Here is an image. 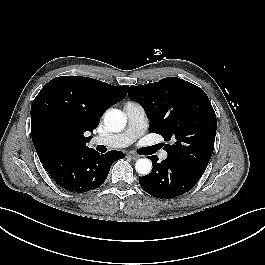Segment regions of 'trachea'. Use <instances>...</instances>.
<instances>
[{
  "mask_svg": "<svg viewBox=\"0 0 265 265\" xmlns=\"http://www.w3.org/2000/svg\"><path fill=\"white\" fill-rule=\"evenodd\" d=\"M151 148H153V149H155V150L159 149V148H158V147H156V146H153V147H151Z\"/></svg>",
  "mask_w": 265,
  "mask_h": 265,
  "instance_id": "trachea-1",
  "label": "trachea"
}]
</instances>
